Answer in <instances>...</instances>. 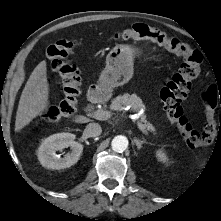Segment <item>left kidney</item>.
<instances>
[{
	"label": "left kidney",
	"mask_w": 221,
	"mask_h": 221,
	"mask_svg": "<svg viewBox=\"0 0 221 221\" xmlns=\"http://www.w3.org/2000/svg\"><path fill=\"white\" fill-rule=\"evenodd\" d=\"M156 157H157L158 161H160L162 163H168V161H169V158L163 149H158L156 151Z\"/></svg>",
	"instance_id": "left-kidney-1"
}]
</instances>
